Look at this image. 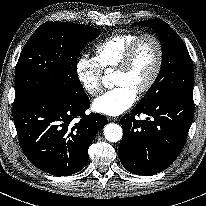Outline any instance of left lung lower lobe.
<instances>
[{"label": "left lung lower lobe", "instance_id": "0a47b994", "mask_svg": "<svg viewBox=\"0 0 206 206\" xmlns=\"http://www.w3.org/2000/svg\"><path fill=\"white\" fill-rule=\"evenodd\" d=\"M193 105V93L174 94L150 104H137L122 117L119 157L125 169L137 175H152L168 168L185 145ZM140 114L149 117L137 120L135 116Z\"/></svg>", "mask_w": 206, "mask_h": 206}]
</instances>
